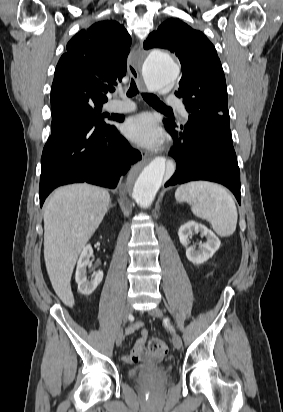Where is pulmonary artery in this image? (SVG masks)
<instances>
[{"mask_svg": "<svg viewBox=\"0 0 283 412\" xmlns=\"http://www.w3.org/2000/svg\"><path fill=\"white\" fill-rule=\"evenodd\" d=\"M166 103L170 106H177L179 99L176 97H168ZM135 109V105L130 101H118L110 107L114 112H131ZM182 115L185 119L189 118V114L186 110L182 109Z\"/></svg>", "mask_w": 283, "mask_h": 412, "instance_id": "1", "label": "pulmonary artery"}]
</instances>
